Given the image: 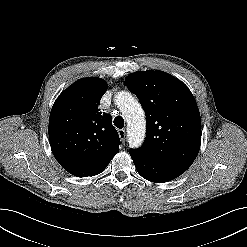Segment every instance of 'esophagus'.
<instances>
[{
    "mask_svg": "<svg viewBox=\"0 0 247 247\" xmlns=\"http://www.w3.org/2000/svg\"><path fill=\"white\" fill-rule=\"evenodd\" d=\"M118 134H119V137L121 139V142L122 143H125V139H126V132L124 129H120L118 130Z\"/></svg>",
    "mask_w": 247,
    "mask_h": 247,
    "instance_id": "esophagus-1",
    "label": "esophagus"
}]
</instances>
